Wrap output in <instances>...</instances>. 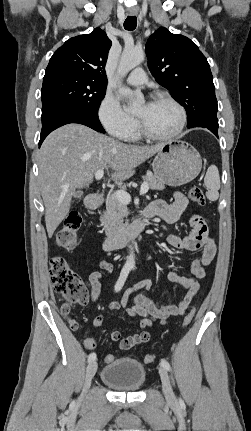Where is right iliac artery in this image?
Segmentation results:
<instances>
[{
  "label": "right iliac artery",
  "mask_w": 251,
  "mask_h": 431,
  "mask_svg": "<svg viewBox=\"0 0 251 431\" xmlns=\"http://www.w3.org/2000/svg\"><path fill=\"white\" fill-rule=\"evenodd\" d=\"M129 272H130V268L129 267H123V269H122V271L120 273V276H119V278H118V280H117V282L115 284V288H114L115 292H118V291L121 290V288L123 287V285H124V283L126 281V278H127L128 274H129ZM95 359H96V354L95 353H91L88 356V362H92Z\"/></svg>",
  "instance_id": "right-iliac-artery-1"
}]
</instances>
